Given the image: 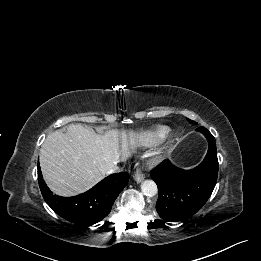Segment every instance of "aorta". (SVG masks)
<instances>
[{"label": "aorta", "mask_w": 261, "mask_h": 261, "mask_svg": "<svg viewBox=\"0 0 261 261\" xmlns=\"http://www.w3.org/2000/svg\"><path fill=\"white\" fill-rule=\"evenodd\" d=\"M142 192L149 197L155 196L158 192L157 185L152 180H145L141 184Z\"/></svg>", "instance_id": "aorta-1"}]
</instances>
